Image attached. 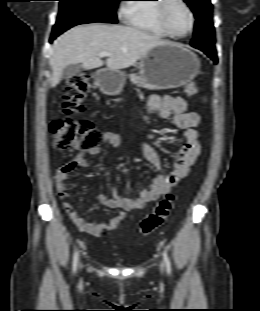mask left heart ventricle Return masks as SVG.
Wrapping results in <instances>:
<instances>
[{
	"label": "left heart ventricle",
	"mask_w": 260,
	"mask_h": 311,
	"mask_svg": "<svg viewBox=\"0 0 260 311\" xmlns=\"http://www.w3.org/2000/svg\"><path fill=\"white\" fill-rule=\"evenodd\" d=\"M166 21L175 34H185L190 28V16L187 10L177 1L172 0L166 12Z\"/></svg>",
	"instance_id": "1"
}]
</instances>
